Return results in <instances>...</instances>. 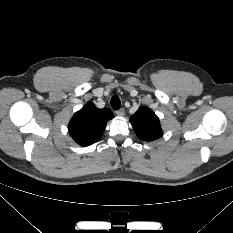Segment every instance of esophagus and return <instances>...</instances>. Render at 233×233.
I'll use <instances>...</instances> for the list:
<instances>
[{"mask_svg":"<svg viewBox=\"0 0 233 233\" xmlns=\"http://www.w3.org/2000/svg\"><path fill=\"white\" fill-rule=\"evenodd\" d=\"M116 114H117L119 117H122V116H124L125 111H124V109L122 108V109L116 111Z\"/></svg>","mask_w":233,"mask_h":233,"instance_id":"esophagus-1","label":"esophagus"}]
</instances>
